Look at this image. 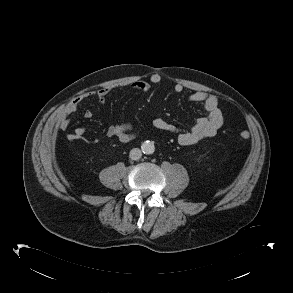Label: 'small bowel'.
I'll return each mask as SVG.
<instances>
[{
	"mask_svg": "<svg viewBox=\"0 0 293 293\" xmlns=\"http://www.w3.org/2000/svg\"><path fill=\"white\" fill-rule=\"evenodd\" d=\"M161 77L159 74L151 75L149 81L139 80L131 84V88L146 93L150 90L151 85L159 84ZM176 93L183 92V86L179 83L173 87ZM111 87H103L95 92H86L77 95L68 103L62 106L53 116L51 123L55 128L66 130L70 125V116L76 112L82 101L88 98H95L99 103L105 102L106 96L111 92ZM188 100L194 103H201L206 111V115L195 119L191 129L181 131L173 124L163 118H156L153 126L161 131L170 132L177 135L178 143L182 146H190L199 141L216 135L224 123V115L219 106L218 99L215 95L196 91L188 96ZM93 116L91 110L84 112V117L90 119ZM84 127H77L67 135L68 140L75 141L83 137ZM107 135L118 139L121 143H128L135 138L133 126L130 123H120L110 125L107 129Z\"/></svg>",
	"mask_w": 293,
	"mask_h": 293,
	"instance_id": "1",
	"label": "small bowel"
}]
</instances>
